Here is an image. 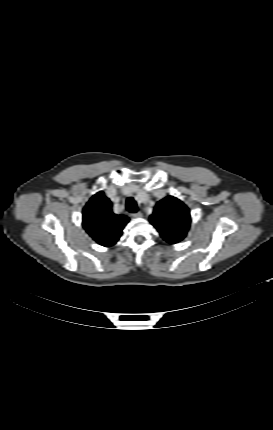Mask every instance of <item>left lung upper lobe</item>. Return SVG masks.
<instances>
[{"instance_id": "5c2ea615", "label": "left lung upper lobe", "mask_w": 273, "mask_h": 430, "mask_svg": "<svg viewBox=\"0 0 273 430\" xmlns=\"http://www.w3.org/2000/svg\"><path fill=\"white\" fill-rule=\"evenodd\" d=\"M149 221L165 241L175 244L186 236L191 218L183 202L168 196L156 204Z\"/></svg>"}]
</instances>
